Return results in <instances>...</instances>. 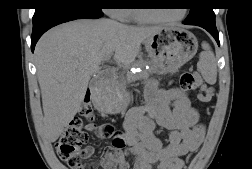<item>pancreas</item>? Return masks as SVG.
<instances>
[{"label": "pancreas", "instance_id": "cf45deb5", "mask_svg": "<svg viewBox=\"0 0 252 169\" xmlns=\"http://www.w3.org/2000/svg\"><path fill=\"white\" fill-rule=\"evenodd\" d=\"M151 72L150 70H146L144 68H142V71L140 73H136V74H129L128 76V80L129 81H133V80H137V79H148L149 74Z\"/></svg>", "mask_w": 252, "mask_h": 169}]
</instances>
